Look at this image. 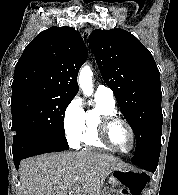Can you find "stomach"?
<instances>
[{"label": "stomach", "mask_w": 178, "mask_h": 195, "mask_svg": "<svg viewBox=\"0 0 178 195\" xmlns=\"http://www.w3.org/2000/svg\"><path fill=\"white\" fill-rule=\"evenodd\" d=\"M131 171L118 169L112 171L101 190L100 195H127V181Z\"/></svg>", "instance_id": "1"}]
</instances>
